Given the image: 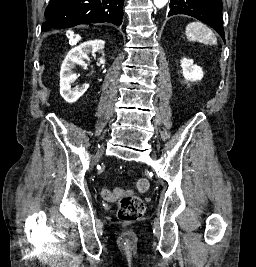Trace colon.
Returning a JSON list of instances; mask_svg holds the SVG:
<instances>
[{"mask_svg":"<svg viewBox=\"0 0 256 267\" xmlns=\"http://www.w3.org/2000/svg\"><path fill=\"white\" fill-rule=\"evenodd\" d=\"M136 190L139 192H146L150 189V182L145 178H140L135 183ZM123 192H126L128 197L115 196L123 195ZM101 196H106L108 199L105 200H118L115 197L124 198L123 200H118V218L121 221L133 222L141 218L145 211V204L138 197H129L136 196L132 192H129L126 188H112L110 190L101 191Z\"/></svg>","mask_w":256,"mask_h":267,"instance_id":"obj_1","label":"colon"}]
</instances>
